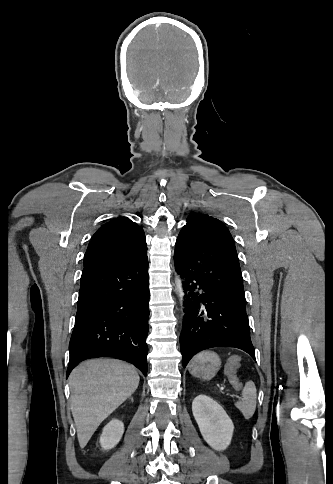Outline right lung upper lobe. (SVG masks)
Returning <instances> with one entry per match:
<instances>
[{
  "label": "right lung upper lobe",
  "mask_w": 333,
  "mask_h": 484,
  "mask_svg": "<svg viewBox=\"0 0 333 484\" xmlns=\"http://www.w3.org/2000/svg\"><path fill=\"white\" fill-rule=\"evenodd\" d=\"M147 250L143 229L127 217H118L102 225L92 236L84 256V265L119 262Z\"/></svg>",
  "instance_id": "right-lung-upper-lobe-1"
}]
</instances>
